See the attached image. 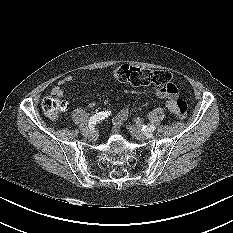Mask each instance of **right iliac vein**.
Returning a JSON list of instances; mask_svg holds the SVG:
<instances>
[{"label": "right iliac vein", "instance_id": "obj_1", "mask_svg": "<svg viewBox=\"0 0 233 233\" xmlns=\"http://www.w3.org/2000/svg\"><path fill=\"white\" fill-rule=\"evenodd\" d=\"M82 134L85 136V137H92L95 135V131L94 129H91V128H84L82 130Z\"/></svg>", "mask_w": 233, "mask_h": 233}]
</instances>
